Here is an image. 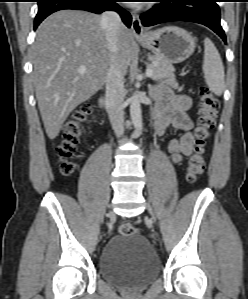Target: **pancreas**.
Instances as JSON below:
<instances>
[{
	"label": "pancreas",
	"instance_id": "obj_1",
	"mask_svg": "<svg viewBox=\"0 0 248 299\" xmlns=\"http://www.w3.org/2000/svg\"><path fill=\"white\" fill-rule=\"evenodd\" d=\"M152 64L149 66L153 70L151 78L155 81H165L176 89H181L174 75L173 65L159 56H152Z\"/></svg>",
	"mask_w": 248,
	"mask_h": 299
}]
</instances>
